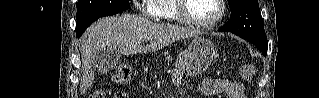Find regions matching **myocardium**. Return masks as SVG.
Masks as SVG:
<instances>
[{
  "instance_id": "f54148a6",
  "label": "myocardium",
  "mask_w": 319,
  "mask_h": 98,
  "mask_svg": "<svg viewBox=\"0 0 319 98\" xmlns=\"http://www.w3.org/2000/svg\"><path fill=\"white\" fill-rule=\"evenodd\" d=\"M219 5L218 15L210 21H199L192 18L186 11V0H176L177 13L182 22L187 25L197 27V28H213L216 26L223 18L226 12V6L224 0H216Z\"/></svg>"
}]
</instances>
